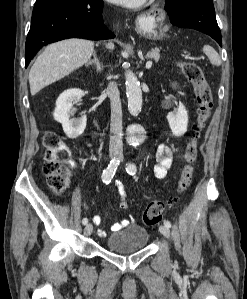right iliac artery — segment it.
<instances>
[{
	"label": "right iliac artery",
	"mask_w": 247,
	"mask_h": 299,
	"mask_svg": "<svg viewBox=\"0 0 247 299\" xmlns=\"http://www.w3.org/2000/svg\"><path fill=\"white\" fill-rule=\"evenodd\" d=\"M120 160L118 158H114L110 161L108 167L103 171L102 181L105 184H109L116 173ZM88 223L87 218H83L82 224L86 225Z\"/></svg>",
	"instance_id": "1"
}]
</instances>
